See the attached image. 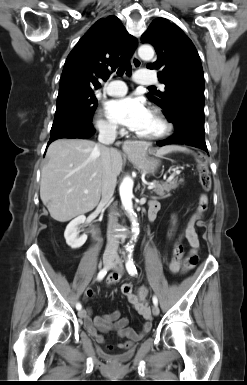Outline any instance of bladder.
<instances>
[{"instance_id": "obj_1", "label": "bladder", "mask_w": 247, "mask_h": 385, "mask_svg": "<svg viewBox=\"0 0 247 385\" xmlns=\"http://www.w3.org/2000/svg\"><path fill=\"white\" fill-rule=\"evenodd\" d=\"M131 353H127V355H125V356H121V357H126V356H129Z\"/></svg>"}]
</instances>
